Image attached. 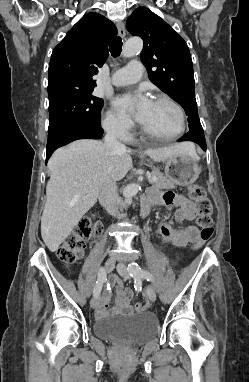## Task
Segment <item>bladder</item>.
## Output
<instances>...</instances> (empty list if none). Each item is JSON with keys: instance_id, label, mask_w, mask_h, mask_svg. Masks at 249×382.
I'll list each match as a JSON object with an SVG mask.
<instances>
[{"instance_id": "31cf9c89", "label": "bladder", "mask_w": 249, "mask_h": 382, "mask_svg": "<svg viewBox=\"0 0 249 382\" xmlns=\"http://www.w3.org/2000/svg\"><path fill=\"white\" fill-rule=\"evenodd\" d=\"M94 333L100 339L137 345L154 338L158 332V320L148 313L113 315L95 321Z\"/></svg>"}]
</instances>
